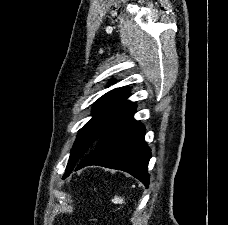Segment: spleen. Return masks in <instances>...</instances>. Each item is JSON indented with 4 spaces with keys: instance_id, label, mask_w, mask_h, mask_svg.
Returning a JSON list of instances; mask_svg holds the SVG:
<instances>
[{
    "instance_id": "obj_1",
    "label": "spleen",
    "mask_w": 228,
    "mask_h": 225,
    "mask_svg": "<svg viewBox=\"0 0 228 225\" xmlns=\"http://www.w3.org/2000/svg\"><path fill=\"white\" fill-rule=\"evenodd\" d=\"M114 201L115 203H119V205H122V203H124V199H121V197H115Z\"/></svg>"
}]
</instances>
